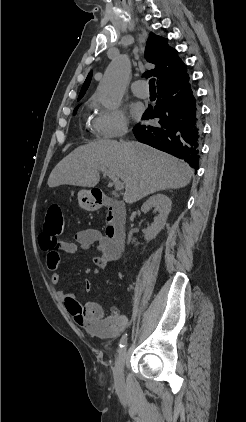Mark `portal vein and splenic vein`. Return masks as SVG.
Returning <instances> with one entry per match:
<instances>
[{
	"mask_svg": "<svg viewBox=\"0 0 246 422\" xmlns=\"http://www.w3.org/2000/svg\"><path fill=\"white\" fill-rule=\"evenodd\" d=\"M102 172L104 175L108 176L112 180L113 184L115 185V190H123L124 184L115 175H113L110 171L107 170H102Z\"/></svg>",
	"mask_w": 246,
	"mask_h": 422,
	"instance_id": "obj_1",
	"label": "portal vein and splenic vein"
}]
</instances>
